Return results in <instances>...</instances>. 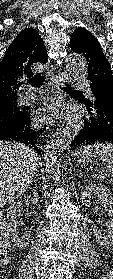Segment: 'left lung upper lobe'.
Masks as SVG:
<instances>
[{
	"instance_id": "5c2ea615",
	"label": "left lung upper lobe",
	"mask_w": 113,
	"mask_h": 279,
	"mask_svg": "<svg viewBox=\"0 0 113 279\" xmlns=\"http://www.w3.org/2000/svg\"><path fill=\"white\" fill-rule=\"evenodd\" d=\"M71 50L82 54L88 63V79L90 86H96L113 94V74L111 66L102 52L96 38L86 29L74 30L70 39Z\"/></svg>"
}]
</instances>
